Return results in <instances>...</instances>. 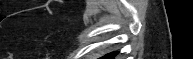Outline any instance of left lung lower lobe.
<instances>
[{"label":"left lung lower lobe","mask_w":193,"mask_h":59,"mask_svg":"<svg viewBox=\"0 0 193 59\" xmlns=\"http://www.w3.org/2000/svg\"><path fill=\"white\" fill-rule=\"evenodd\" d=\"M117 54H118V52H112V53H109V54L103 56L102 59H113Z\"/></svg>","instance_id":"0a47b994"}]
</instances>
